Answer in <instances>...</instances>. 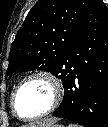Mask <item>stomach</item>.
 I'll use <instances>...</instances> for the list:
<instances>
[{"label":"stomach","mask_w":108,"mask_h":127,"mask_svg":"<svg viewBox=\"0 0 108 127\" xmlns=\"http://www.w3.org/2000/svg\"><path fill=\"white\" fill-rule=\"evenodd\" d=\"M37 127H66V126L64 124H62V123L55 122V123L50 124L48 126H37Z\"/></svg>","instance_id":"0dacf381"}]
</instances>
